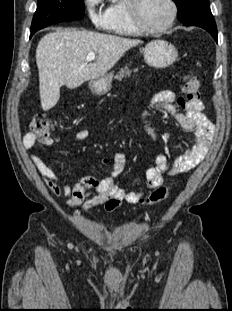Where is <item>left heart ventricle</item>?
<instances>
[{"mask_svg": "<svg viewBox=\"0 0 232 311\" xmlns=\"http://www.w3.org/2000/svg\"><path fill=\"white\" fill-rule=\"evenodd\" d=\"M139 10L142 21L151 28L165 24L171 14L167 0H141Z\"/></svg>", "mask_w": 232, "mask_h": 311, "instance_id": "b2bd125f", "label": "left heart ventricle"}]
</instances>
